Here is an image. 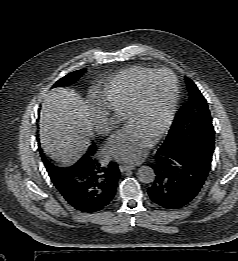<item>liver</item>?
<instances>
[{
    "mask_svg": "<svg viewBox=\"0 0 238 261\" xmlns=\"http://www.w3.org/2000/svg\"><path fill=\"white\" fill-rule=\"evenodd\" d=\"M43 150L65 164L76 162L93 137L90 109L74 90L55 88L45 94L39 120Z\"/></svg>",
    "mask_w": 238,
    "mask_h": 261,
    "instance_id": "1",
    "label": "liver"
}]
</instances>
